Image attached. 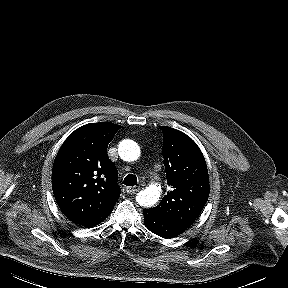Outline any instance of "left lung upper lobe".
Returning a JSON list of instances; mask_svg holds the SVG:
<instances>
[{
	"label": "left lung upper lobe",
	"mask_w": 288,
	"mask_h": 288,
	"mask_svg": "<svg viewBox=\"0 0 288 288\" xmlns=\"http://www.w3.org/2000/svg\"><path fill=\"white\" fill-rule=\"evenodd\" d=\"M163 158L171 191L151 212L187 229L200 215L209 196V177L204 156L185 133L162 126Z\"/></svg>",
	"instance_id": "5c2ea615"
}]
</instances>
